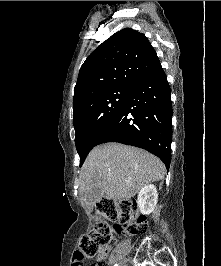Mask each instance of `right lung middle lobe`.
<instances>
[{"label":"right lung middle lobe","mask_w":221,"mask_h":266,"mask_svg":"<svg viewBox=\"0 0 221 266\" xmlns=\"http://www.w3.org/2000/svg\"><path fill=\"white\" fill-rule=\"evenodd\" d=\"M132 87H114L94 93L83 99L73 113L76 132L75 145L80 166L90 150L96 146L101 133L119 115Z\"/></svg>","instance_id":"right-lung-middle-lobe-1"}]
</instances>
